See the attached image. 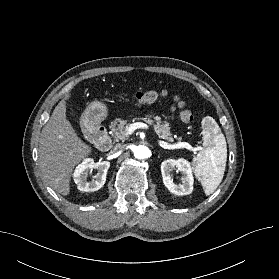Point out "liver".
<instances>
[{
  "label": "liver",
  "mask_w": 279,
  "mask_h": 279,
  "mask_svg": "<svg viewBox=\"0 0 279 279\" xmlns=\"http://www.w3.org/2000/svg\"><path fill=\"white\" fill-rule=\"evenodd\" d=\"M70 94L65 99H69ZM61 100L43 127L39 139V166L49 186L67 196L74 167L92 148L81 140L66 119V102Z\"/></svg>",
  "instance_id": "6515ba94"
}]
</instances>
